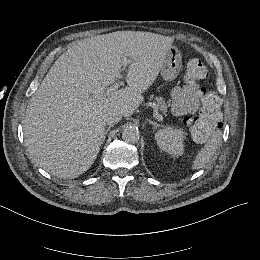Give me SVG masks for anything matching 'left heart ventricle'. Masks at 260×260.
Masks as SVG:
<instances>
[{"instance_id":"b2bd125f","label":"left heart ventricle","mask_w":260,"mask_h":260,"mask_svg":"<svg viewBox=\"0 0 260 260\" xmlns=\"http://www.w3.org/2000/svg\"><path fill=\"white\" fill-rule=\"evenodd\" d=\"M87 62L89 66L94 64H100L104 66H113L115 64L114 55H99V54H89L87 57ZM111 101L104 95L96 97L92 100L90 104L91 109H98L105 106H109Z\"/></svg>"}]
</instances>
